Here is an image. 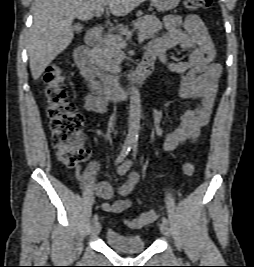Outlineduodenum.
I'll list each match as a JSON object with an SVG mask.
<instances>
[{
  "mask_svg": "<svg viewBox=\"0 0 254 267\" xmlns=\"http://www.w3.org/2000/svg\"><path fill=\"white\" fill-rule=\"evenodd\" d=\"M102 42V26L89 30L85 37V45L76 49L74 61L81 75L93 84L94 92L106 100H119L126 97L135 84L149 77L154 70V60L145 56L139 66L132 71L126 84H121L119 78L109 72L99 69L91 57V51Z\"/></svg>",
  "mask_w": 254,
  "mask_h": 267,
  "instance_id": "obj_1",
  "label": "duodenum"
}]
</instances>
